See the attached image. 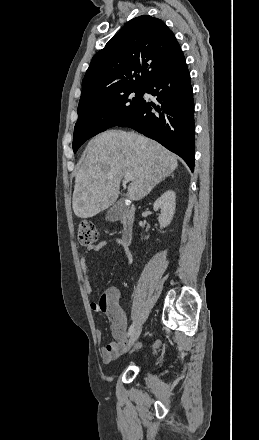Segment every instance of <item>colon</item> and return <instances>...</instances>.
Segmentation results:
<instances>
[{
  "instance_id": "1",
  "label": "colon",
  "mask_w": 259,
  "mask_h": 440,
  "mask_svg": "<svg viewBox=\"0 0 259 440\" xmlns=\"http://www.w3.org/2000/svg\"><path fill=\"white\" fill-rule=\"evenodd\" d=\"M99 239L98 231L92 222L84 221L79 225L78 240L83 246H94Z\"/></svg>"
}]
</instances>
